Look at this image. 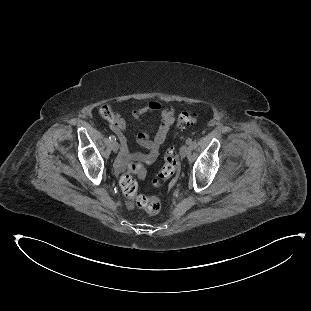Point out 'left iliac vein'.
<instances>
[{
    "label": "left iliac vein",
    "instance_id": "1",
    "mask_svg": "<svg viewBox=\"0 0 311 311\" xmlns=\"http://www.w3.org/2000/svg\"><path fill=\"white\" fill-rule=\"evenodd\" d=\"M189 152V148L186 146V145H183L181 148H180V156L182 158L186 157L187 153Z\"/></svg>",
    "mask_w": 311,
    "mask_h": 311
}]
</instances>
